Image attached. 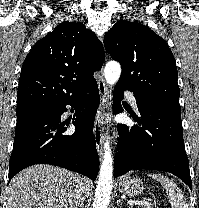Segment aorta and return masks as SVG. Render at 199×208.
I'll list each match as a JSON object with an SVG mask.
<instances>
[{
    "mask_svg": "<svg viewBox=\"0 0 199 208\" xmlns=\"http://www.w3.org/2000/svg\"><path fill=\"white\" fill-rule=\"evenodd\" d=\"M121 66L116 61H109L104 69L107 84L114 85L120 78ZM113 182V159L109 142L104 143V156L100 166L98 182L93 201V208H108Z\"/></svg>",
    "mask_w": 199,
    "mask_h": 208,
    "instance_id": "1",
    "label": "aorta"
}]
</instances>
